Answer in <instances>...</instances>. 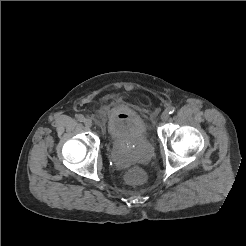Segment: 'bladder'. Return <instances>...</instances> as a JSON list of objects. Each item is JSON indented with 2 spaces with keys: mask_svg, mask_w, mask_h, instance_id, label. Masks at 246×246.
I'll return each mask as SVG.
<instances>
[{
  "mask_svg": "<svg viewBox=\"0 0 246 246\" xmlns=\"http://www.w3.org/2000/svg\"><path fill=\"white\" fill-rule=\"evenodd\" d=\"M104 112L107 134L112 142L147 139V123L134 108L113 101L105 107ZM152 155L151 146L131 152L113 150L110 154V160L115 166L126 168L134 164H146L151 160Z\"/></svg>",
  "mask_w": 246,
  "mask_h": 246,
  "instance_id": "31cf9c89",
  "label": "bladder"
}]
</instances>
